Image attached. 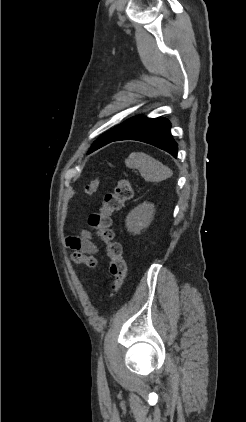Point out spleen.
I'll return each mask as SVG.
<instances>
[{"mask_svg": "<svg viewBox=\"0 0 246 422\" xmlns=\"http://www.w3.org/2000/svg\"><path fill=\"white\" fill-rule=\"evenodd\" d=\"M125 164L128 168L138 169L146 181L160 182L172 176L169 167L143 152H132Z\"/></svg>", "mask_w": 246, "mask_h": 422, "instance_id": "spleen-1", "label": "spleen"}]
</instances>
